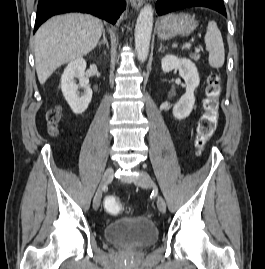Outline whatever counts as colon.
<instances>
[{"instance_id": "1", "label": "colon", "mask_w": 265, "mask_h": 269, "mask_svg": "<svg viewBox=\"0 0 265 269\" xmlns=\"http://www.w3.org/2000/svg\"><path fill=\"white\" fill-rule=\"evenodd\" d=\"M221 80L216 73H211L207 79L205 98L203 100L204 112L198 124L195 144L203 148L215 133L219 118V98L221 95ZM61 114L58 109H52L47 114L48 129L51 134L58 131ZM105 210L110 214H118L124 209L122 201L115 196H108L104 201Z\"/></svg>"}]
</instances>
